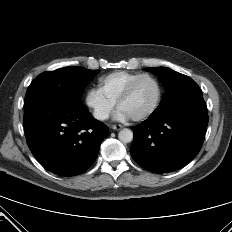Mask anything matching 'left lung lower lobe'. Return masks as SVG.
<instances>
[{
  "label": "left lung lower lobe",
  "instance_id": "0a47b994",
  "mask_svg": "<svg viewBox=\"0 0 232 232\" xmlns=\"http://www.w3.org/2000/svg\"><path fill=\"white\" fill-rule=\"evenodd\" d=\"M207 124L202 92L190 94L134 127L131 156L154 173L178 170L199 153Z\"/></svg>",
  "mask_w": 232,
  "mask_h": 232
}]
</instances>
